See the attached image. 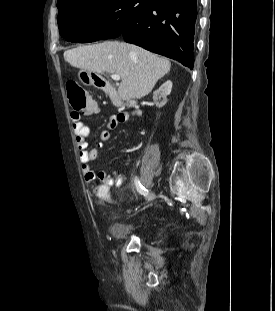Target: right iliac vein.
<instances>
[{
  "label": "right iliac vein",
  "mask_w": 275,
  "mask_h": 311,
  "mask_svg": "<svg viewBox=\"0 0 275 311\" xmlns=\"http://www.w3.org/2000/svg\"><path fill=\"white\" fill-rule=\"evenodd\" d=\"M154 196H155L154 192L151 191L150 194L148 195V201L152 200Z\"/></svg>",
  "instance_id": "1"
}]
</instances>
